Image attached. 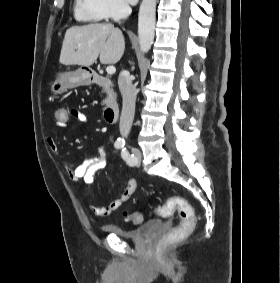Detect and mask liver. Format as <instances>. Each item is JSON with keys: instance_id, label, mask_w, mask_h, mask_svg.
<instances>
[{"instance_id": "6515ba94", "label": "liver", "mask_w": 280, "mask_h": 283, "mask_svg": "<svg viewBox=\"0 0 280 283\" xmlns=\"http://www.w3.org/2000/svg\"><path fill=\"white\" fill-rule=\"evenodd\" d=\"M124 50L123 33L112 24L74 26L65 33L59 61L64 65L90 67L99 56L102 64H115Z\"/></svg>"}]
</instances>
